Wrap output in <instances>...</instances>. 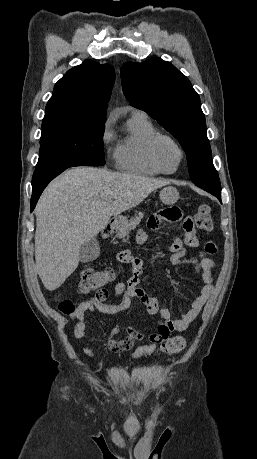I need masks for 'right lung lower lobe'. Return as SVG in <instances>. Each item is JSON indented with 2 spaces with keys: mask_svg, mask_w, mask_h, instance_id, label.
Instances as JSON below:
<instances>
[{
  "mask_svg": "<svg viewBox=\"0 0 257 459\" xmlns=\"http://www.w3.org/2000/svg\"><path fill=\"white\" fill-rule=\"evenodd\" d=\"M74 166H92L89 165L85 162H80V161H72L68 163H59L55 164L53 166L43 168V169H35V172L33 174L32 178V198H31V211L36 206V203L45 189V187L48 185V183L54 179L57 175L62 173L64 170H66L69 167H74Z\"/></svg>",
  "mask_w": 257,
  "mask_h": 459,
  "instance_id": "1",
  "label": "right lung lower lobe"
}]
</instances>
